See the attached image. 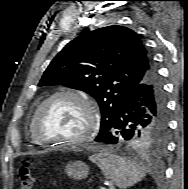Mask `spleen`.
Instances as JSON below:
<instances>
[{
    "mask_svg": "<svg viewBox=\"0 0 188 189\" xmlns=\"http://www.w3.org/2000/svg\"><path fill=\"white\" fill-rule=\"evenodd\" d=\"M90 160L96 163L104 176L120 189L136 184L146 175L142 167L110 152L94 154L90 156Z\"/></svg>",
    "mask_w": 188,
    "mask_h": 189,
    "instance_id": "spleen-1",
    "label": "spleen"
}]
</instances>
